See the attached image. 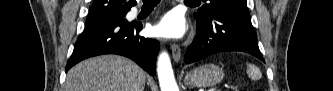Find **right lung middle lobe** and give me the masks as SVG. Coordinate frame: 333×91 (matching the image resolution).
Instances as JSON below:
<instances>
[{"instance_id":"obj_1","label":"right lung middle lobe","mask_w":333,"mask_h":91,"mask_svg":"<svg viewBox=\"0 0 333 91\" xmlns=\"http://www.w3.org/2000/svg\"><path fill=\"white\" fill-rule=\"evenodd\" d=\"M127 12H123V13H119V14H115L113 16L110 17H124L126 15Z\"/></svg>"}]
</instances>
